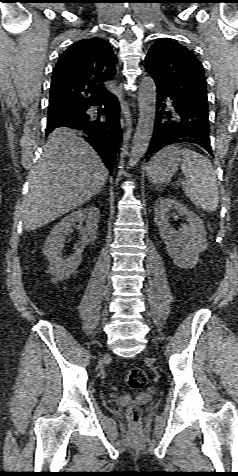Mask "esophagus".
<instances>
[{"instance_id":"esophagus-1","label":"esophagus","mask_w":238,"mask_h":476,"mask_svg":"<svg viewBox=\"0 0 238 476\" xmlns=\"http://www.w3.org/2000/svg\"><path fill=\"white\" fill-rule=\"evenodd\" d=\"M121 126L124 127L125 126V122L123 119H121Z\"/></svg>"}]
</instances>
